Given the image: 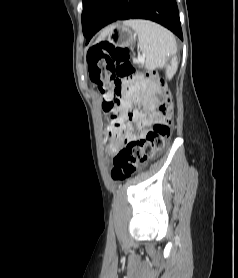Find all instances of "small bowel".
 Here are the masks:
<instances>
[{"instance_id": "obj_1", "label": "small bowel", "mask_w": 238, "mask_h": 278, "mask_svg": "<svg viewBox=\"0 0 238 278\" xmlns=\"http://www.w3.org/2000/svg\"><path fill=\"white\" fill-rule=\"evenodd\" d=\"M152 106L153 102L147 95L145 82L141 77L138 76L124 84L119 100L117 127L110 133L109 153L115 154L124 144L144 136L145 128L154 118ZM132 124L139 128L138 135L134 134Z\"/></svg>"}]
</instances>
